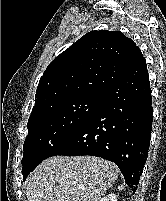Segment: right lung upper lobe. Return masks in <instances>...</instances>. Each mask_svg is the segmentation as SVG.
Instances as JSON below:
<instances>
[{
	"label": "right lung upper lobe",
	"mask_w": 166,
	"mask_h": 201,
	"mask_svg": "<svg viewBox=\"0 0 166 201\" xmlns=\"http://www.w3.org/2000/svg\"><path fill=\"white\" fill-rule=\"evenodd\" d=\"M142 59L134 41L119 31L85 34L46 68L30 117L72 98L102 95Z\"/></svg>",
	"instance_id": "right-lung-upper-lobe-1"
}]
</instances>
